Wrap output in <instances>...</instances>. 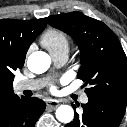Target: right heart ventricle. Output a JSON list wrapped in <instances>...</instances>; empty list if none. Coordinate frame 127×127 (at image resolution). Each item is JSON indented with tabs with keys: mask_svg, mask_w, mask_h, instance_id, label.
Here are the masks:
<instances>
[{
	"mask_svg": "<svg viewBox=\"0 0 127 127\" xmlns=\"http://www.w3.org/2000/svg\"><path fill=\"white\" fill-rule=\"evenodd\" d=\"M41 44L48 49L52 56L62 52H68L69 37L68 35L57 28L47 29L41 36Z\"/></svg>",
	"mask_w": 127,
	"mask_h": 127,
	"instance_id": "obj_1",
	"label": "right heart ventricle"
}]
</instances>
